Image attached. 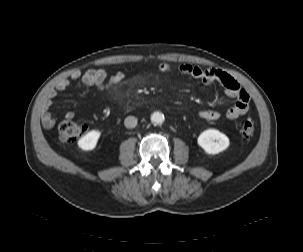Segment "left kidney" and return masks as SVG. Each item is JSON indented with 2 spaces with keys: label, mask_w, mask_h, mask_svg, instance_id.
Wrapping results in <instances>:
<instances>
[{
  "label": "left kidney",
  "mask_w": 303,
  "mask_h": 252,
  "mask_svg": "<svg viewBox=\"0 0 303 252\" xmlns=\"http://www.w3.org/2000/svg\"><path fill=\"white\" fill-rule=\"evenodd\" d=\"M197 143L207 154H218L229 146V138L216 129H207L199 135Z\"/></svg>",
  "instance_id": "left-kidney-1"
}]
</instances>
